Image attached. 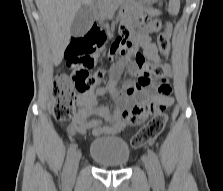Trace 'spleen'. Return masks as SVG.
<instances>
[{
  "label": "spleen",
  "instance_id": "spleen-1",
  "mask_svg": "<svg viewBox=\"0 0 223 191\" xmlns=\"http://www.w3.org/2000/svg\"><path fill=\"white\" fill-rule=\"evenodd\" d=\"M180 8V0H170L169 12L173 15H177Z\"/></svg>",
  "mask_w": 223,
  "mask_h": 191
}]
</instances>
